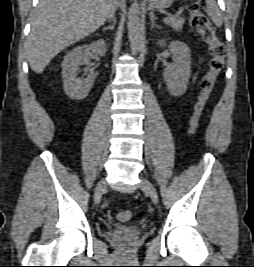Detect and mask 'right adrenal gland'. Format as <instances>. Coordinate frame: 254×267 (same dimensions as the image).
<instances>
[{
  "instance_id": "right-adrenal-gland-1",
  "label": "right adrenal gland",
  "mask_w": 254,
  "mask_h": 267,
  "mask_svg": "<svg viewBox=\"0 0 254 267\" xmlns=\"http://www.w3.org/2000/svg\"><path fill=\"white\" fill-rule=\"evenodd\" d=\"M115 24H116V20L115 18L113 19V22L111 25L107 26V27H104L103 28V31H106V30H113L115 28Z\"/></svg>"
}]
</instances>
